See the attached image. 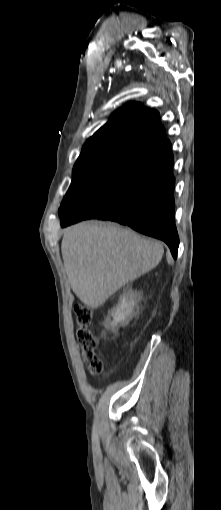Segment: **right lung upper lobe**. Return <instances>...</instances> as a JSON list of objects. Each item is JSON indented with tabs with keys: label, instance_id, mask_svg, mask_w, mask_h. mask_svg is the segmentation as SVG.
<instances>
[{
	"label": "right lung upper lobe",
	"instance_id": "cb5924a9",
	"mask_svg": "<svg viewBox=\"0 0 221 510\" xmlns=\"http://www.w3.org/2000/svg\"><path fill=\"white\" fill-rule=\"evenodd\" d=\"M168 144L159 113L131 102L86 141L78 159L131 148L154 153Z\"/></svg>",
	"mask_w": 221,
	"mask_h": 510
}]
</instances>
